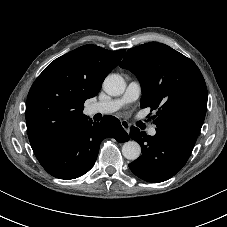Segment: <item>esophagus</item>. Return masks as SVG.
<instances>
[{"instance_id":"esophagus-1","label":"esophagus","mask_w":227,"mask_h":227,"mask_svg":"<svg viewBox=\"0 0 227 227\" xmlns=\"http://www.w3.org/2000/svg\"><path fill=\"white\" fill-rule=\"evenodd\" d=\"M121 126L126 130L127 133L130 132V124L126 120L121 121Z\"/></svg>"}]
</instances>
